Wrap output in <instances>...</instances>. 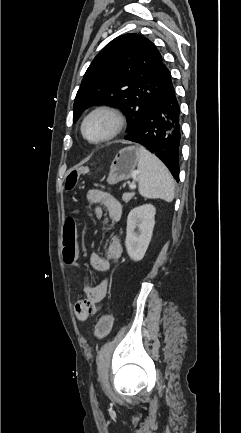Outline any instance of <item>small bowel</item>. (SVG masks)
<instances>
[{
  "mask_svg": "<svg viewBox=\"0 0 241 433\" xmlns=\"http://www.w3.org/2000/svg\"><path fill=\"white\" fill-rule=\"evenodd\" d=\"M88 201L96 207L98 217H102L105 211L110 220L117 221L120 219L122 206L112 194L102 190H92L88 193ZM122 251L120 238L114 236L110 239L103 256L97 253L91 254L90 264L97 271H108L112 264L119 262ZM76 252L78 254V251ZM108 287L109 280H104L97 286H86L84 288V298L77 301L74 307L77 320L85 321L88 317L97 313L101 302L107 295Z\"/></svg>",
  "mask_w": 241,
  "mask_h": 433,
  "instance_id": "c3829d8e",
  "label": "small bowel"
}]
</instances>
